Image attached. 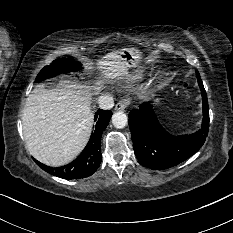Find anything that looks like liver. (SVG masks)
<instances>
[{"mask_svg":"<svg viewBox=\"0 0 233 233\" xmlns=\"http://www.w3.org/2000/svg\"><path fill=\"white\" fill-rule=\"evenodd\" d=\"M105 78L122 79L128 68L118 51L97 60ZM99 81L96 90L104 88ZM93 93L86 86L66 80L47 89L37 85L28 96L22 115L26 148L38 161L62 166L74 160L86 146L92 131Z\"/></svg>","mask_w":233,"mask_h":233,"instance_id":"obj_1","label":"liver"}]
</instances>
